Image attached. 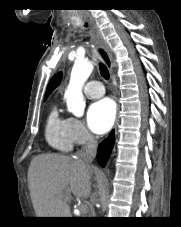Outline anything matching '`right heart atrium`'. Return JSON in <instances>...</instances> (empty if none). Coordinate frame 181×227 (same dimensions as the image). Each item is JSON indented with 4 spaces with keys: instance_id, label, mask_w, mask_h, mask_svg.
<instances>
[{
    "instance_id": "d8ad5b80",
    "label": "right heart atrium",
    "mask_w": 181,
    "mask_h": 227,
    "mask_svg": "<svg viewBox=\"0 0 181 227\" xmlns=\"http://www.w3.org/2000/svg\"><path fill=\"white\" fill-rule=\"evenodd\" d=\"M68 134L73 144L83 146L89 144L93 137L90 132L85 127L84 123L74 117L68 118V126H67Z\"/></svg>"
}]
</instances>
